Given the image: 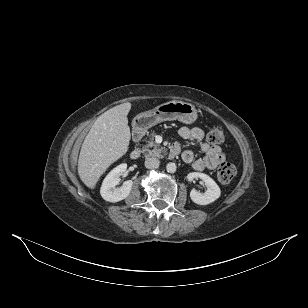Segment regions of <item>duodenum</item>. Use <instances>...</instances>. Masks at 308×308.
Returning a JSON list of instances; mask_svg holds the SVG:
<instances>
[{"label": "duodenum", "mask_w": 308, "mask_h": 308, "mask_svg": "<svg viewBox=\"0 0 308 308\" xmlns=\"http://www.w3.org/2000/svg\"><path fill=\"white\" fill-rule=\"evenodd\" d=\"M143 134H144V127L141 126V125H137L134 128V131H133V139H134V141H136V142L139 141L142 138ZM178 153H179V148L175 144L172 145L171 148H170V151H169V155L171 157H174ZM140 154H141L140 149L135 148V149H133L131 151L130 158L133 159V160H136V159H138L140 157Z\"/></svg>", "instance_id": "obj_1"}]
</instances>
